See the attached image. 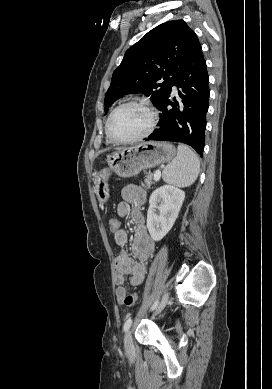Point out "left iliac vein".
I'll use <instances>...</instances> for the list:
<instances>
[{
  "instance_id": "obj_1",
  "label": "left iliac vein",
  "mask_w": 272,
  "mask_h": 389,
  "mask_svg": "<svg viewBox=\"0 0 272 389\" xmlns=\"http://www.w3.org/2000/svg\"><path fill=\"white\" fill-rule=\"evenodd\" d=\"M167 302H168V293H166L163 296L162 301L157 309V313H159L165 307ZM124 349L126 353H131L133 351V342H132V335L130 330L127 331L124 336Z\"/></svg>"
}]
</instances>
